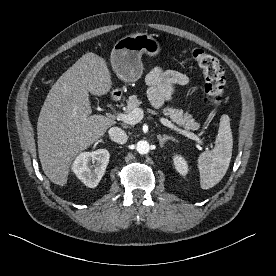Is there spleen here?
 <instances>
[{"label":"spleen","instance_id":"spleen-1","mask_svg":"<svg viewBox=\"0 0 276 276\" xmlns=\"http://www.w3.org/2000/svg\"><path fill=\"white\" fill-rule=\"evenodd\" d=\"M233 138L230 128V118L222 115L215 148L205 151L198 157L200 185L202 189H209L218 184L225 176L232 157Z\"/></svg>","mask_w":276,"mask_h":276}]
</instances>
